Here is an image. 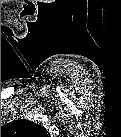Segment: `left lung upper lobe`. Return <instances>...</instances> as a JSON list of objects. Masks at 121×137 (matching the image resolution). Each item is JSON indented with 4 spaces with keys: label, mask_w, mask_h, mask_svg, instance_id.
Here are the masks:
<instances>
[{
    "label": "left lung upper lobe",
    "mask_w": 121,
    "mask_h": 137,
    "mask_svg": "<svg viewBox=\"0 0 121 137\" xmlns=\"http://www.w3.org/2000/svg\"><path fill=\"white\" fill-rule=\"evenodd\" d=\"M1 132L10 137H45L47 130L41 125L29 120H14L2 127Z\"/></svg>",
    "instance_id": "5c2ea615"
}]
</instances>
